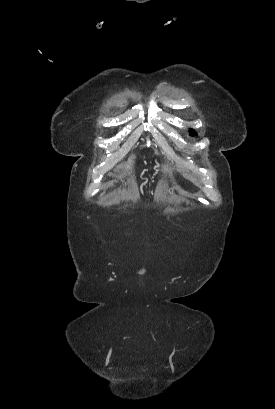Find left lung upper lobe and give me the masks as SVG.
<instances>
[{"label":"left lung upper lobe","mask_w":275,"mask_h":409,"mask_svg":"<svg viewBox=\"0 0 275 409\" xmlns=\"http://www.w3.org/2000/svg\"><path fill=\"white\" fill-rule=\"evenodd\" d=\"M190 135H196L195 131L191 129L190 130Z\"/></svg>","instance_id":"left-lung-upper-lobe-1"}]
</instances>
